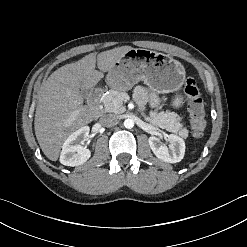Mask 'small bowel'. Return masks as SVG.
Listing matches in <instances>:
<instances>
[{
	"mask_svg": "<svg viewBox=\"0 0 247 247\" xmlns=\"http://www.w3.org/2000/svg\"><path fill=\"white\" fill-rule=\"evenodd\" d=\"M134 97L136 102L140 105V106H144L145 104H147L148 102L152 105V106H156L159 103V99L158 97L154 94L151 93L146 87L144 86H138L135 89L134 92Z\"/></svg>",
	"mask_w": 247,
	"mask_h": 247,
	"instance_id": "1",
	"label": "small bowel"
}]
</instances>
